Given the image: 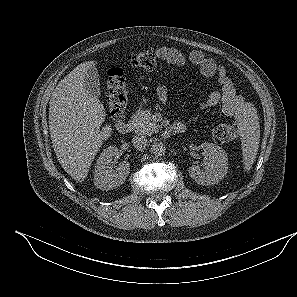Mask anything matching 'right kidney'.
<instances>
[{
  "mask_svg": "<svg viewBox=\"0 0 297 297\" xmlns=\"http://www.w3.org/2000/svg\"><path fill=\"white\" fill-rule=\"evenodd\" d=\"M117 147L109 146L104 149L95 165V185L101 190H111L119 187L126 180L130 164L127 161L121 162L114 170L112 162L117 154Z\"/></svg>",
  "mask_w": 297,
  "mask_h": 297,
  "instance_id": "obj_1",
  "label": "right kidney"
}]
</instances>
